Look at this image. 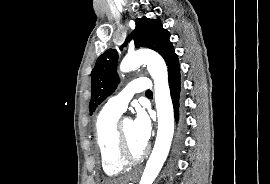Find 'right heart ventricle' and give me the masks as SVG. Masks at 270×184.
<instances>
[{"label":"right heart ventricle","instance_id":"right-heart-ventricle-1","mask_svg":"<svg viewBox=\"0 0 270 184\" xmlns=\"http://www.w3.org/2000/svg\"><path fill=\"white\" fill-rule=\"evenodd\" d=\"M120 114L105 106L98 114L95 124L101 166L109 176L120 174L127 166L119 160L116 149V125Z\"/></svg>","mask_w":270,"mask_h":184}]
</instances>
